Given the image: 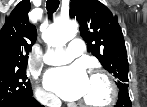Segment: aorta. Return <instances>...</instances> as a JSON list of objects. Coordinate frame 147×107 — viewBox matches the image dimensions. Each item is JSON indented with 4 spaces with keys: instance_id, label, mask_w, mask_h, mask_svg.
Listing matches in <instances>:
<instances>
[{
    "instance_id": "obj_1",
    "label": "aorta",
    "mask_w": 147,
    "mask_h": 107,
    "mask_svg": "<svg viewBox=\"0 0 147 107\" xmlns=\"http://www.w3.org/2000/svg\"><path fill=\"white\" fill-rule=\"evenodd\" d=\"M78 32V24L73 21L52 24L43 34L45 42L53 47H62Z\"/></svg>"
}]
</instances>
